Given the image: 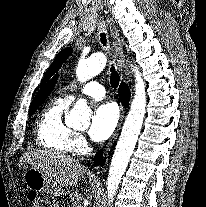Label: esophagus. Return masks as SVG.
Returning <instances> with one entry per match:
<instances>
[{"label":"esophagus","instance_id":"esophagus-1","mask_svg":"<svg viewBox=\"0 0 206 207\" xmlns=\"http://www.w3.org/2000/svg\"><path fill=\"white\" fill-rule=\"evenodd\" d=\"M107 23L109 25L111 39H112L113 46H114V49L116 52L117 66L120 71L121 80H122L123 79V70H124V66H125V57H124L122 40H121V37L119 34L118 27L116 26L114 20L109 16L107 17ZM123 118H124V109H123V107H121V115L119 118V122L116 127V130L114 131L113 135L111 136L109 142L107 143V145L104 149L105 155L107 154V152L109 151V149L111 148V146L113 145L115 140L117 139V136L119 134V131H120V128H121V125L123 122Z\"/></svg>","mask_w":206,"mask_h":207}]
</instances>
